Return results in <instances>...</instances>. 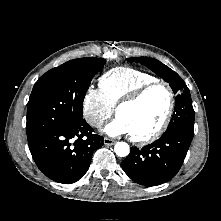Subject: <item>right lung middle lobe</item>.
Here are the masks:
<instances>
[{
  "mask_svg": "<svg viewBox=\"0 0 221 221\" xmlns=\"http://www.w3.org/2000/svg\"><path fill=\"white\" fill-rule=\"evenodd\" d=\"M105 62L94 57L70 60L38 79L27 104L28 144L59 126L82 119L85 91Z\"/></svg>",
  "mask_w": 221,
  "mask_h": 221,
  "instance_id": "1",
  "label": "right lung middle lobe"
}]
</instances>
